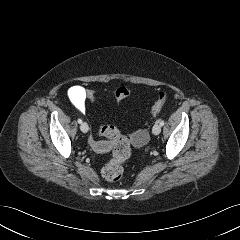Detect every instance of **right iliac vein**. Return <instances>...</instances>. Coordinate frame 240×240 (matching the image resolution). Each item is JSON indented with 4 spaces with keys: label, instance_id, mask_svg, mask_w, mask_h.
Returning <instances> with one entry per match:
<instances>
[{
    "label": "right iliac vein",
    "instance_id": "obj_1",
    "mask_svg": "<svg viewBox=\"0 0 240 240\" xmlns=\"http://www.w3.org/2000/svg\"><path fill=\"white\" fill-rule=\"evenodd\" d=\"M80 129H81V131H82L83 133H87L88 130H89V127H88L87 123L83 122V123H81V125H80Z\"/></svg>",
    "mask_w": 240,
    "mask_h": 240
}]
</instances>
